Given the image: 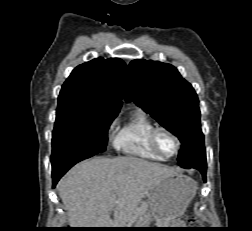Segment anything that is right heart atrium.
<instances>
[{
  "instance_id": "obj_1",
  "label": "right heart atrium",
  "mask_w": 252,
  "mask_h": 231,
  "mask_svg": "<svg viewBox=\"0 0 252 231\" xmlns=\"http://www.w3.org/2000/svg\"><path fill=\"white\" fill-rule=\"evenodd\" d=\"M114 128H115V121L112 120L109 122V124L107 126V132L112 133L114 131Z\"/></svg>"
}]
</instances>
